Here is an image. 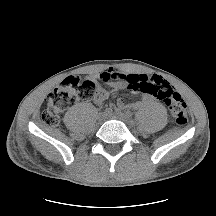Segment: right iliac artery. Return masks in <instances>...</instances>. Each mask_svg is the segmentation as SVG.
I'll return each instance as SVG.
<instances>
[{
	"label": "right iliac artery",
	"mask_w": 216,
	"mask_h": 216,
	"mask_svg": "<svg viewBox=\"0 0 216 216\" xmlns=\"http://www.w3.org/2000/svg\"><path fill=\"white\" fill-rule=\"evenodd\" d=\"M112 111L113 110L111 108H106L104 112L108 115V114H111Z\"/></svg>",
	"instance_id": "right-iliac-artery-1"
}]
</instances>
